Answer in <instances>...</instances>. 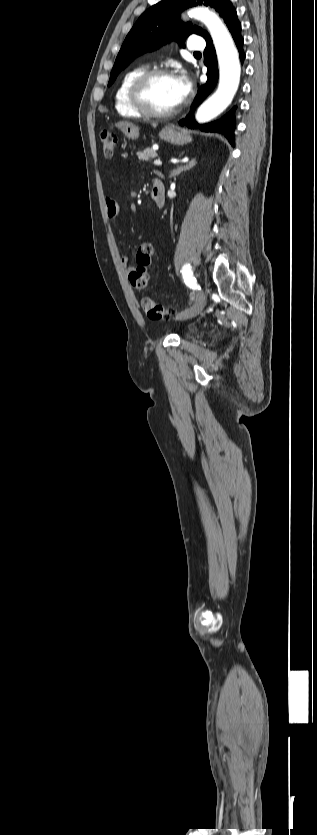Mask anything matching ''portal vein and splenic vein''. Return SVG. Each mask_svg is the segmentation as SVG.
Masks as SVG:
<instances>
[{"mask_svg":"<svg viewBox=\"0 0 317 835\" xmlns=\"http://www.w3.org/2000/svg\"><path fill=\"white\" fill-rule=\"evenodd\" d=\"M153 164H154L155 166H161V165H162V162H161L160 160H155V161L153 162ZM157 173H158V174H162L160 171H157Z\"/></svg>","mask_w":317,"mask_h":835,"instance_id":"portal-vein-and-splenic-vein-1","label":"portal vein and splenic vein"}]
</instances>
